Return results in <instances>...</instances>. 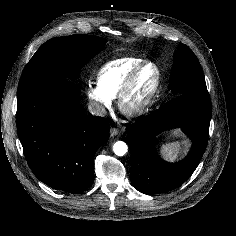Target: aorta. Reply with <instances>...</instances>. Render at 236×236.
<instances>
[{"mask_svg":"<svg viewBox=\"0 0 236 236\" xmlns=\"http://www.w3.org/2000/svg\"><path fill=\"white\" fill-rule=\"evenodd\" d=\"M113 151L117 156H124L128 151V147L125 142L117 141L113 145Z\"/></svg>","mask_w":236,"mask_h":236,"instance_id":"1","label":"aorta"}]
</instances>
